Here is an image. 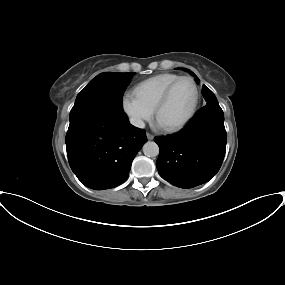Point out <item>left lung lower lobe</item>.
Returning <instances> with one entry per match:
<instances>
[{
  "mask_svg": "<svg viewBox=\"0 0 285 285\" xmlns=\"http://www.w3.org/2000/svg\"><path fill=\"white\" fill-rule=\"evenodd\" d=\"M156 161L162 178L180 188L208 182L219 171L226 150L224 114L220 107H203L178 134L156 137Z\"/></svg>",
  "mask_w": 285,
  "mask_h": 285,
  "instance_id": "obj_1",
  "label": "left lung lower lobe"
}]
</instances>
